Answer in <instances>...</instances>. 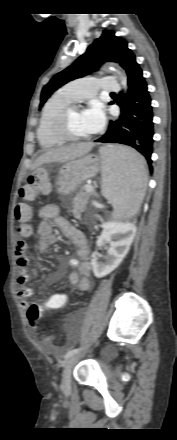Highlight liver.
I'll use <instances>...</instances> for the list:
<instances>
[{
  "mask_svg": "<svg viewBox=\"0 0 177 440\" xmlns=\"http://www.w3.org/2000/svg\"><path fill=\"white\" fill-rule=\"evenodd\" d=\"M93 146L94 144L91 142H82L48 150L36 159L32 169H35L46 163L74 160L89 153Z\"/></svg>",
  "mask_w": 177,
  "mask_h": 440,
  "instance_id": "liver-1",
  "label": "liver"
}]
</instances>
